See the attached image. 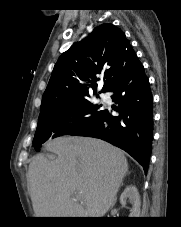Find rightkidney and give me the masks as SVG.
I'll return each mask as SVG.
<instances>
[{
    "instance_id": "obj_1",
    "label": "right kidney",
    "mask_w": 181,
    "mask_h": 227,
    "mask_svg": "<svg viewBox=\"0 0 181 227\" xmlns=\"http://www.w3.org/2000/svg\"><path fill=\"white\" fill-rule=\"evenodd\" d=\"M127 199L132 204L130 209V217H139L141 200L137 188L133 185L127 186L120 196V203L122 206L126 205Z\"/></svg>"
}]
</instances>
